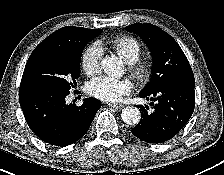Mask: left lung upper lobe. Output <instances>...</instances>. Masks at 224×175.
<instances>
[{"instance_id": "obj_1", "label": "left lung upper lobe", "mask_w": 224, "mask_h": 175, "mask_svg": "<svg viewBox=\"0 0 224 175\" xmlns=\"http://www.w3.org/2000/svg\"><path fill=\"white\" fill-rule=\"evenodd\" d=\"M126 29L141 36L153 59L152 78L140 93H150L166 83L195 82L188 60L172 36L150 23H135Z\"/></svg>"}]
</instances>
